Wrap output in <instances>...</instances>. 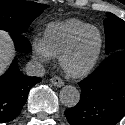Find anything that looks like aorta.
Listing matches in <instances>:
<instances>
[{
    "label": "aorta",
    "mask_w": 125,
    "mask_h": 125,
    "mask_svg": "<svg viewBox=\"0 0 125 125\" xmlns=\"http://www.w3.org/2000/svg\"><path fill=\"white\" fill-rule=\"evenodd\" d=\"M59 97L66 107H74L80 100V93L76 87L67 85L61 89Z\"/></svg>",
    "instance_id": "aorta-1"
}]
</instances>
